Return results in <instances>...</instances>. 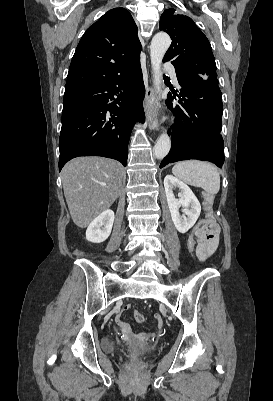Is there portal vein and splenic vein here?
<instances>
[{"instance_id": "1", "label": "portal vein and splenic vein", "mask_w": 273, "mask_h": 401, "mask_svg": "<svg viewBox=\"0 0 273 401\" xmlns=\"http://www.w3.org/2000/svg\"><path fill=\"white\" fill-rule=\"evenodd\" d=\"M101 184H105V182H101Z\"/></svg>"}]
</instances>
